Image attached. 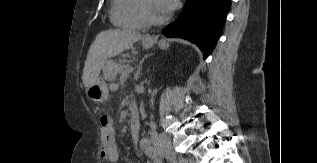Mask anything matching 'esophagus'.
<instances>
[{
  "instance_id": "esophagus-1",
  "label": "esophagus",
  "mask_w": 317,
  "mask_h": 163,
  "mask_svg": "<svg viewBox=\"0 0 317 163\" xmlns=\"http://www.w3.org/2000/svg\"><path fill=\"white\" fill-rule=\"evenodd\" d=\"M144 40H145V41H153L154 39H153L152 36L146 35V36L144 37Z\"/></svg>"
}]
</instances>
